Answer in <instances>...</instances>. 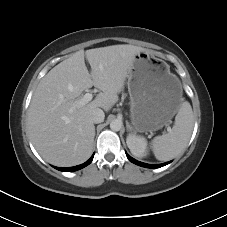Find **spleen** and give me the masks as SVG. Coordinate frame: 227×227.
I'll return each instance as SVG.
<instances>
[{"label":"spleen","instance_id":"spleen-1","mask_svg":"<svg viewBox=\"0 0 227 227\" xmlns=\"http://www.w3.org/2000/svg\"><path fill=\"white\" fill-rule=\"evenodd\" d=\"M193 126L192 107L188 101H183L179 106L172 129L166 134L156 136L151 142L156 159L167 161L179 155L190 140Z\"/></svg>","mask_w":227,"mask_h":227}]
</instances>
